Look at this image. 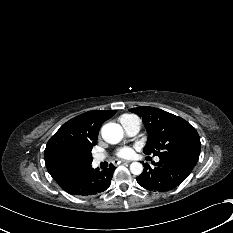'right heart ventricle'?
I'll return each instance as SVG.
<instances>
[{
	"label": "right heart ventricle",
	"mask_w": 233,
	"mask_h": 233,
	"mask_svg": "<svg viewBox=\"0 0 233 233\" xmlns=\"http://www.w3.org/2000/svg\"><path fill=\"white\" fill-rule=\"evenodd\" d=\"M128 117H133L132 115H123L120 117L119 121L121 122L122 119L128 118Z\"/></svg>",
	"instance_id": "e07e8e85"
}]
</instances>
